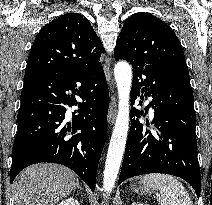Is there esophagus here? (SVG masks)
I'll use <instances>...</instances> for the list:
<instances>
[{
	"label": "esophagus",
	"mask_w": 212,
	"mask_h": 205,
	"mask_svg": "<svg viewBox=\"0 0 212 205\" xmlns=\"http://www.w3.org/2000/svg\"><path fill=\"white\" fill-rule=\"evenodd\" d=\"M111 87V102L110 107L108 111V124L113 125L115 117H116V111H117V95L114 89V83L111 80L110 82Z\"/></svg>",
	"instance_id": "obj_1"
}]
</instances>
